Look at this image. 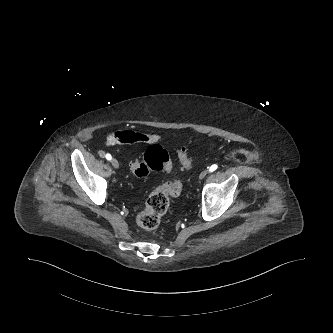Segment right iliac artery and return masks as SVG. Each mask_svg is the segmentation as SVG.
<instances>
[{
    "label": "right iliac artery",
    "instance_id": "right-iliac-artery-1",
    "mask_svg": "<svg viewBox=\"0 0 333 333\" xmlns=\"http://www.w3.org/2000/svg\"><path fill=\"white\" fill-rule=\"evenodd\" d=\"M105 157H106V159L109 160V161L112 159V157H111V155H110L109 153H107V154L105 155Z\"/></svg>",
    "mask_w": 333,
    "mask_h": 333
}]
</instances>
